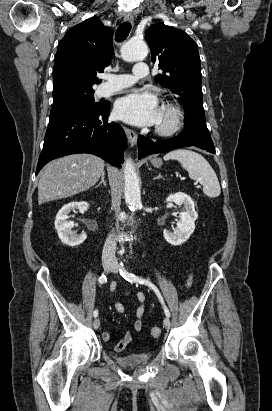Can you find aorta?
I'll list each match as a JSON object with an SVG mask.
<instances>
[{"mask_svg": "<svg viewBox=\"0 0 272 411\" xmlns=\"http://www.w3.org/2000/svg\"><path fill=\"white\" fill-rule=\"evenodd\" d=\"M148 53V48L143 40L130 39L121 50L125 61H138ZM124 197L129 209L134 212L141 207V191L139 177L130 158L124 163Z\"/></svg>", "mask_w": 272, "mask_h": 411, "instance_id": "aorta-1", "label": "aorta"}]
</instances>
